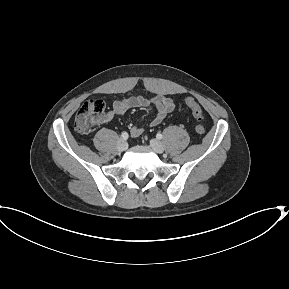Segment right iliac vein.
I'll return each mask as SVG.
<instances>
[{"instance_id":"63e3f726","label":"right iliac vein","mask_w":289,"mask_h":289,"mask_svg":"<svg viewBox=\"0 0 289 289\" xmlns=\"http://www.w3.org/2000/svg\"><path fill=\"white\" fill-rule=\"evenodd\" d=\"M128 145L127 142L124 139H119L117 143V150L119 152H123L127 149Z\"/></svg>"}]
</instances>
